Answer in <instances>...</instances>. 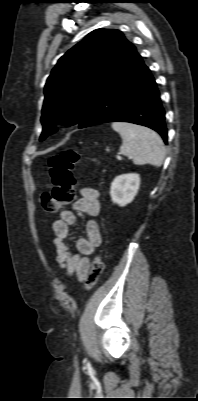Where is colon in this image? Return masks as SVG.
<instances>
[{
  "mask_svg": "<svg viewBox=\"0 0 198 401\" xmlns=\"http://www.w3.org/2000/svg\"><path fill=\"white\" fill-rule=\"evenodd\" d=\"M79 159L75 150H66L52 156L48 161L49 175L53 185L51 193L41 196L40 205L47 214H54L75 199V177L73 168ZM104 269L101 255H96L87 280V286L92 288L100 279Z\"/></svg>",
  "mask_w": 198,
  "mask_h": 401,
  "instance_id": "5ec220e1",
  "label": "colon"
}]
</instances>
